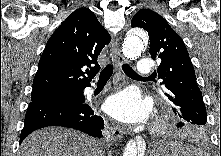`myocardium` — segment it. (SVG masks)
I'll return each mask as SVG.
<instances>
[{
    "label": "myocardium",
    "instance_id": "myocardium-1",
    "mask_svg": "<svg viewBox=\"0 0 221 156\" xmlns=\"http://www.w3.org/2000/svg\"><path fill=\"white\" fill-rule=\"evenodd\" d=\"M167 126V120L164 117H160L153 126V132L160 133Z\"/></svg>",
    "mask_w": 221,
    "mask_h": 156
}]
</instances>
